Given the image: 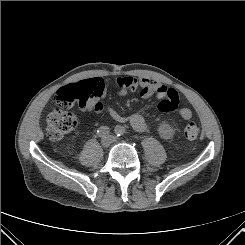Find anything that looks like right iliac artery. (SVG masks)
Returning <instances> with one entry per match:
<instances>
[{
  "label": "right iliac artery",
  "mask_w": 245,
  "mask_h": 245,
  "mask_svg": "<svg viewBox=\"0 0 245 245\" xmlns=\"http://www.w3.org/2000/svg\"><path fill=\"white\" fill-rule=\"evenodd\" d=\"M110 133V130L108 127L106 126H101L98 130H97V134L99 137L105 138L106 136H108Z\"/></svg>",
  "instance_id": "1"
}]
</instances>
